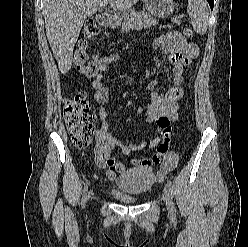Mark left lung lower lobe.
<instances>
[{
    "mask_svg": "<svg viewBox=\"0 0 248 247\" xmlns=\"http://www.w3.org/2000/svg\"><path fill=\"white\" fill-rule=\"evenodd\" d=\"M208 3L210 4L211 9H213V5H214V0H207Z\"/></svg>",
    "mask_w": 248,
    "mask_h": 247,
    "instance_id": "0a47b994",
    "label": "left lung lower lobe"
}]
</instances>
